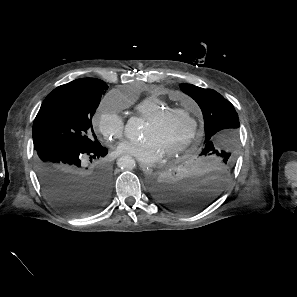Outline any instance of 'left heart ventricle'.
Masks as SVG:
<instances>
[{
	"instance_id": "b2bd125f",
	"label": "left heart ventricle",
	"mask_w": 297,
	"mask_h": 297,
	"mask_svg": "<svg viewBox=\"0 0 297 297\" xmlns=\"http://www.w3.org/2000/svg\"><path fill=\"white\" fill-rule=\"evenodd\" d=\"M191 122L184 115H174L159 124L145 122L142 130L143 138H153L166 153L180 145L189 135Z\"/></svg>"
}]
</instances>
